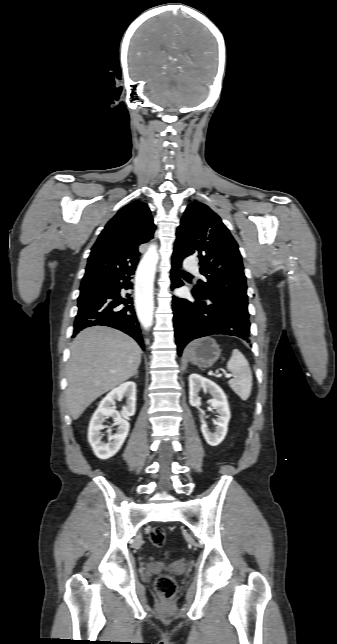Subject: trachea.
<instances>
[{"label":"trachea","instance_id":"1","mask_svg":"<svg viewBox=\"0 0 337 644\" xmlns=\"http://www.w3.org/2000/svg\"><path fill=\"white\" fill-rule=\"evenodd\" d=\"M181 272H182V273H185V274H188V273H186V272H184V271H181Z\"/></svg>","mask_w":337,"mask_h":644}]
</instances>
